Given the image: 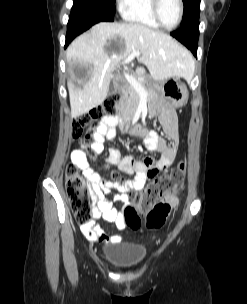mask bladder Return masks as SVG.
<instances>
[{"instance_id":"obj_1","label":"bladder","mask_w":247,"mask_h":304,"mask_svg":"<svg viewBox=\"0 0 247 304\" xmlns=\"http://www.w3.org/2000/svg\"><path fill=\"white\" fill-rule=\"evenodd\" d=\"M146 255V248L138 245L112 243L103 248L104 259L113 267L122 270L140 266Z\"/></svg>"}]
</instances>
